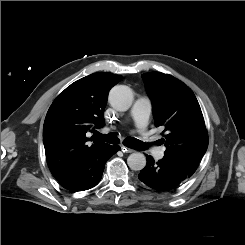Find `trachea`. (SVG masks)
<instances>
[{"instance_id":"1","label":"trachea","mask_w":245,"mask_h":245,"mask_svg":"<svg viewBox=\"0 0 245 245\" xmlns=\"http://www.w3.org/2000/svg\"><path fill=\"white\" fill-rule=\"evenodd\" d=\"M95 136L105 142H108L110 144H118L120 142L118 136L116 133H109V134H101L99 132L95 133ZM124 144L128 146L129 148L135 149V150H145L147 148V145L141 142L140 140L136 138H127L124 141Z\"/></svg>"}]
</instances>
